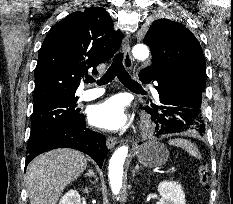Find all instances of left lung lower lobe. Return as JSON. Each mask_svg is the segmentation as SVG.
Segmentation results:
<instances>
[{
	"label": "left lung lower lobe",
	"instance_id": "1",
	"mask_svg": "<svg viewBox=\"0 0 233 204\" xmlns=\"http://www.w3.org/2000/svg\"><path fill=\"white\" fill-rule=\"evenodd\" d=\"M143 83L157 82L160 103H150L145 110L155 125V135L162 136L180 132L205 133L201 103L205 89L196 78L186 72L177 62H162L154 70L139 75Z\"/></svg>",
	"mask_w": 233,
	"mask_h": 204
}]
</instances>
